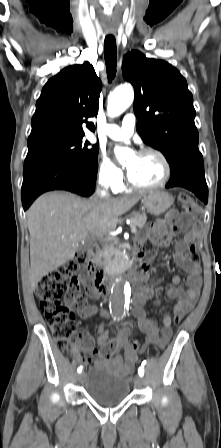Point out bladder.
I'll list each match as a JSON object with an SVG mask.
<instances>
[{"mask_svg":"<svg viewBox=\"0 0 221 448\" xmlns=\"http://www.w3.org/2000/svg\"><path fill=\"white\" fill-rule=\"evenodd\" d=\"M82 383L90 399L102 406L117 405L130 393L128 379L101 365L94 366L84 373Z\"/></svg>","mask_w":221,"mask_h":448,"instance_id":"obj_1","label":"bladder"}]
</instances>
